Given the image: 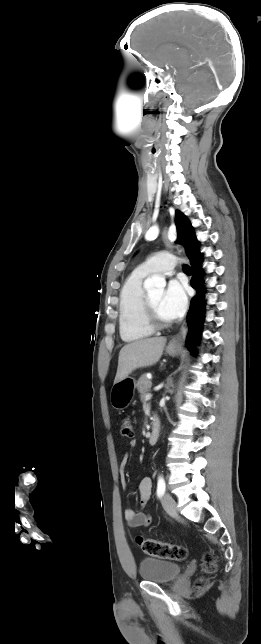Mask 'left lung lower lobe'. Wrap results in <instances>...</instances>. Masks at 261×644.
<instances>
[{
	"label": "left lung lower lobe",
	"instance_id": "left-lung-lower-lobe-1",
	"mask_svg": "<svg viewBox=\"0 0 261 644\" xmlns=\"http://www.w3.org/2000/svg\"><path fill=\"white\" fill-rule=\"evenodd\" d=\"M193 268V277L191 286L196 289L197 294L190 302V308L187 314L188 334L186 338V347L195 355V346L199 344L202 324L205 317V291L204 271L202 269V259H193L190 261Z\"/></svg>",
	"mask_w": 261,
	"mask_h": 644
}]
</instances>
